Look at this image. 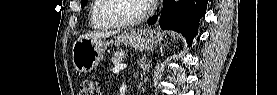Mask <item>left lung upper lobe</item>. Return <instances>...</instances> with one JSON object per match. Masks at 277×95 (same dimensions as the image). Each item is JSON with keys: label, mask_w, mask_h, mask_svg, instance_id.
<instances>
[{"label": "left lung upper lobe", "mask_w": 277, "mask_h": 95, "mask_svg": "<svg viewBox=\"0 0 277 95\" xmlns=\"http://www.w3.org/2000/svg\"><path fill=\"white\" fill-rule=\"evenodd\" d=\"M86 3H87V0H81V7L84 8Z\"/></svg>", "instance_id": "1"}]
</instances>
